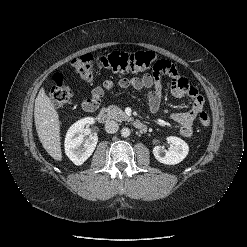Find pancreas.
I'll return each mask as SVG.
<instances>
[{"label":"pancreas","instance_id":"cf45deb5","mask_svg":"<svg viewBox=\"0 0 247 247\" xmlns=\"http://www.w3.org/2000/svg\"><path fill=\"white\" fill-rule=\"evenodd\" d=\"M107 113L109 118L114 120L127 121L129 119L125 112L115 105H110L107 108Z\"/></svg>","mask_w":247,"mask_h":247}]
</instances>
